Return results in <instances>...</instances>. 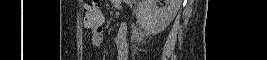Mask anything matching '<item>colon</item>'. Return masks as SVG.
Here are the masks:
<instances>
[{
  "label": "colon",
  "instance_id": "5ec220e1",
  "mask_svg": "<svg viewBox=\"0 0 267 60\" xmlns=\"http://www.w3.org/2000/svg\"><path fill=\"white\" fill-rule=\"evenodd\" d=\"M102 10L95 1L91 2L85 11V23L89 27L97 28L102 23Z\"/></svg>",
  "mask_w": 267,
  "mask_h": 60
}]
</instances>
